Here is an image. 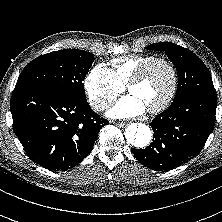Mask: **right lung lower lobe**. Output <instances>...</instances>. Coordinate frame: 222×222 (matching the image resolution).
Masks as SVG:
<instances>
[{
    "instance_id": "98d812e1",
    "label": "right lung lower lobe",
    "mask_w": 222,
    "mask_h": 222,
    "mask_svg": "<svg viewBox=\"0 0 222 222\" xmlns=\"http://www.w3.org/2000/svg\"><path fill=\"white\" fill-rule=\"evenodd\" d=\"M10 107L13 130L29 158L53 171L80 163L108 124L86 99L47 88H15Z\"/></svg>"
}]
</instances>
